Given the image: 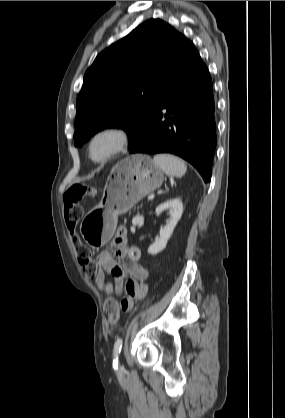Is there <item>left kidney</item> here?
Masks as SVG:
<instances>
[{"label":"left kidney","instance_id":"left-kidney-1","mask_svg":"<svg viewBox=\"0 0 285 418\" xmlns=\"http://www.w3.org/2000/svg\"><path fill=\"white\" fill-rule=\"evenodd\" d=\"M163 211H168L170 219L166 222V225L160 228L159 236L155 238V241L148 248V253L155 255L165 249L169 238L171 237L173 230L180 220L183 213L182 201L179 198L170 199L161 205H159L155 213L161 214Z\"/></svg>","mask_w":285,"mask_h":418}]
</instances>
